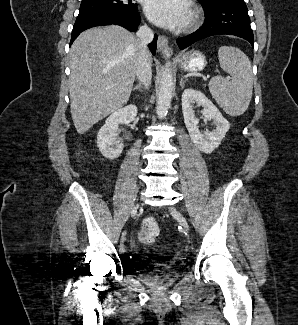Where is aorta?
<instances>
[{"mask_svg": "<svg viewBox=\"0 0 298 325\" xmlns=\"http://www.w3.org/2000/svg\"><path fill=\"white\" fill-rule=\"evenodd\" d=\"M174 90V74L172 72L171 64H165L163 72H161L160 88L157 98L156 112L158 118H164L171 106V100Z\"/></svg>", "mask_w": 298, "mask_h": 325, "instance_id": "aorta-1", "label": "aorta"}]
</instances>
